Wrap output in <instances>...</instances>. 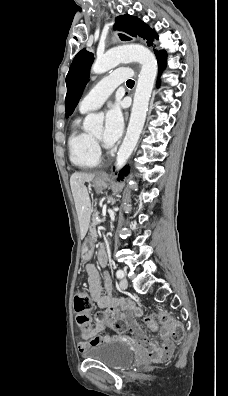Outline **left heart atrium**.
<instances>
[{"instance_id":"left-heart-atrium-1","label":"left heart atrium","mask_w":228,"mask_h":396,"mask_svg":"<svg viewBox=\"0 0 228 396\" xmlns=\"http://www.w3.org/2000/svg\"><path fill=\"white\" fill-rule=\"evenodd\" d=\"M124 127L123 116L118 105L108 109L105 116L103 141L107 146H113L121 137Z\"/></svg>"}]
</instances>
